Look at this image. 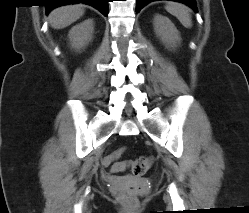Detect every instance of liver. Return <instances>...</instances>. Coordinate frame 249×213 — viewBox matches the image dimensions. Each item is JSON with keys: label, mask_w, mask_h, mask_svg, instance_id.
<instances>
[{"label": "liver", "mask_w": 249, "mask_h": 213, "mask_svg": "<svg viewBox=\"0 0 249 213\" xmlns=\"http://www.w3.org/2000/svg\"><path fill=\"white\" fill-rule=\"evenodd\" d=\"M83 14L82 5L62 6L52 10L48 19L53 28L62 29L77 21Z\"/></svg>", "instance_id": "obj_1"}]
</instances>
